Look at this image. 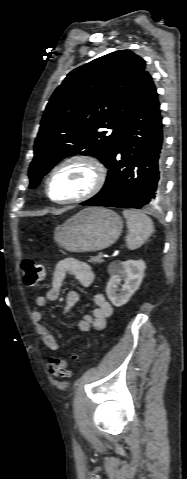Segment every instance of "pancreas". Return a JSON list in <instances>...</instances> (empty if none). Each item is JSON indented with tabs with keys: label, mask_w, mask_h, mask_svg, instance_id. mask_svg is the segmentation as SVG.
Wrapping results in <instances>:
<instances>
[{
	"label": "pancreas",
	"mask_w": 187,
	"mask_h": 479,
	"mask_svg": "<svg viewBox=\"0 0 187 479\" xmlns=\"http://www.w3.org/2000/svg\"><path fill=\"white\" fill-rule=\"evenodd\" d=\"M90 262L95 264V263H103L104 260L100 256H93L90 258Z\"/></svg>",
	"instance_id": "obj_1"
}]
</instances>
